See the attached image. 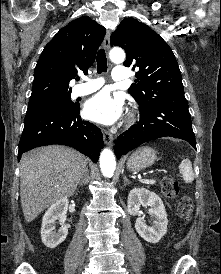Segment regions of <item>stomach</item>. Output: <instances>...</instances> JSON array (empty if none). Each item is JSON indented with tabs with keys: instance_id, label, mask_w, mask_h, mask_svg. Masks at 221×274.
Wrapping results in <instances>:
<instances>
[{
	"instance_id": "0dacf381",
	"label": "stomach",
	"mask_w": 221,
	"mask_h": 274,
	"mask_svg": "<svg viewBox=\"0 0 221 274\" xmlns=\"http://www.w3.org/2000/svg\"><path fill=\"white\" fill-rule=\"evenodd\" d=\"M156 159V151L153 148L141 147L129 157L127 168L134 172L140 171L153 165Z\"/></svg>"
}]
</instances>
